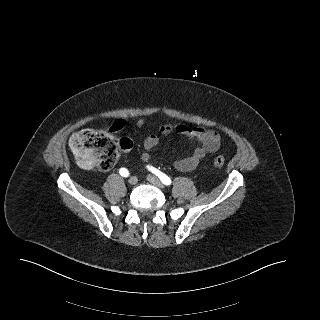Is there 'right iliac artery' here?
I'll return each instance as SVG.
<instances>
[{"label": "right iliac artery", "mask_w": 320, "mask_h": 320, "mask_svg": "<svg viewBox=\"0 0 320 320\" xmlns=\"http://www.w3.org/2000/svg\"><path fill=\"white\" fill-rule=\"evenodd\" d=\"M119 172L123 177H128L130 175L129 171L125 168H121Z\"/></svg>", "instance_id": "1"}]
</instances>
